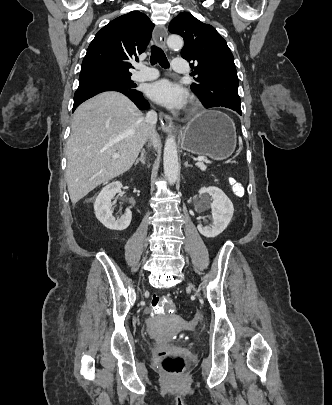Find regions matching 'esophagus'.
I'll use <instances>...</instances> for the list:
<instances>
[{"mask_svg":"<svg viewBox=\"0 0 332 405\" xmlns=\"http://www.w3.org/2000/svg\"><path fill=\"white\" fill-rule=\"evenodd\" d=\"M167 34V29L163 25L156 26L153 32V39L155 43L160 45L163 49H166ZM160 124L161 128L165 132H170L174 128L172 118L164 113L160 114Z\"/></svg>","mask_w":332,"mask_h":405,"instance_id":"1","label":"esophagus"}]
</instances>
